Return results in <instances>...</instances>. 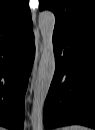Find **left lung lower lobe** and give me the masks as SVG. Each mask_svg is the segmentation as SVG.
<instances>
[{"label": "left lung lower lobe", "mask_w": 95, "mask_h": 130, "mask_svg": "<svg viewBox=\"0 0 95 130\" xmlns=\"http://www.w3.org/2000/svg\"><path fill=\"white\" fill-rule=\"evenodd\" d=\"M53 45L56 67L44 105L45 129L95 128V43L54 33Z\"/></svg>", "instance_id": "obj_1"}]
</instances>
